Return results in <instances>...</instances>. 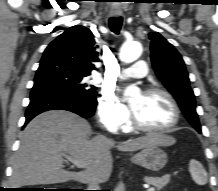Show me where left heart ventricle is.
I'll return each instance as SVG.
<instances>
[{
	"instance_id": "obj_1",
	"label": "left heart ventricle",
	"mask_w": 218,
	"mask_h": 191,
	"mask_svg": "<svg viewBox=\"0 0 218 191\" xmlns=\"http://www.w3.org/2000/svg\"><path fill=\"white\" fill-rule=\"evenodd\" d=\"M131 106L137 120L149 128L166 127L174 118L171 104L162 95L140 94Z\"/></svg>"
}]
</instances>
